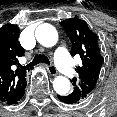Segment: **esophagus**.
Wrapping results in <instances>:
<instances>
[{
	"label": "esophagus",
	"instance_id": "obj_1",
	"mask_svg": "<svg viewBox=\"0 0 117 117\" xmlns=\"http://www.w3.org/2000/svg\"><path fill=\"white\" fill-rule=\"evenodd\" d=\"M45 67L48 70L50 75H52V76H56L57 75V70H56L55 66H53V65H45Z\"/></svg>",
	"mask_w": 117,
	"mask_h": 117
}]
</instances>
